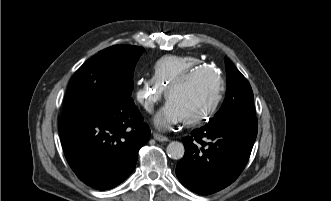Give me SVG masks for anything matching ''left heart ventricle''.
<instances>
[{"instance_id": "left-heart-ventricle-1", "label": "left heart ventricle", "mask_w": 331, "mask_h": 201, "mask_svg": "<svg viewBox=\"0 0 331 201\" xmlns=\"http://www.w3.org/2000/svg\"><path fill=\"white\" fill-rule=\"evenodd\" d=\"M219 89L216 76L210 72L197 74L181 90L172 96L171 102L175 108L186 118H192L204 111L214 100Z\"/></svg>"}]
</instances>
